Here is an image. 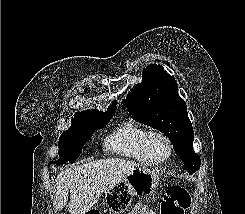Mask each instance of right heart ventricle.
Here are the masks:
<instances>
[{
	"instance_id": "obj_1",
	"label": "right heart ventricle",
	"mask_w": 245,
	"mask_h": 214,
	"mask_svg": "<svg viewBox=\"0 0 245 214\" xmlns=\"http://www.w3.org/2000/svg\"><path fill=\"white\" fill-rule=\"evenodd\" d=\"M149 130L135 120L120 124L106 139L105 147L117 155L148 165L141 143Z\"/></svg>"
}]
</instances>
